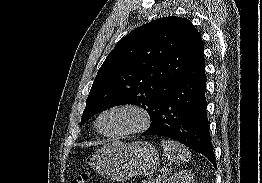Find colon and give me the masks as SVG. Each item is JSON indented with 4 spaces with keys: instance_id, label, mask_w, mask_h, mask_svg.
Returning a JSON list of instances; mask_svg holds the SVG:
<instances>
[{
    "instance_id": "colon-1",
    "label": "colon",
    "mask_w": 262,
    "mask_h": 183,
    "mask_svg": "<svg viewBox=\"0 0 262 183\" xmlns=\"http://www.w3.org/2000/svg\"><path fill=\"white\" fill-rule=\"evenodd\" d=\"M72 183H88V174L82 173L74 178Z\"/></svg>"
}]
</instances>
